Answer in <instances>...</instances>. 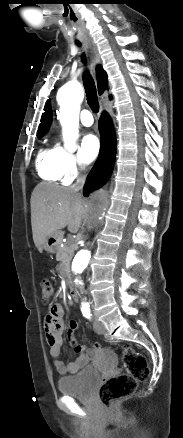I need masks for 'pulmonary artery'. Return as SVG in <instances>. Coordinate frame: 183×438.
Masks as SVG:
<instances>
[{
	"instance_id": "1",
	"label": "pulmonary artery",
	"mask_w": 183,
	"mask_h": 438,
	"mask_svg": "<svg viewBox=\"0 0 183 438\" xmlns=\"http://www.w3.org/2000/svg\"><path fill=\"white\" fill-rule=\"evenodd\" d=\"M81 123L84 126H91L93 124V116L90 110L84 109L80 115Z\"/></svg>"
}]
</instances>
